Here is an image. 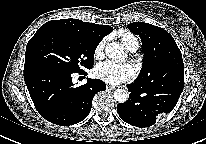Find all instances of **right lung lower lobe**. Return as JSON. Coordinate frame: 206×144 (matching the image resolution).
Wrapping results in <instances>:
<instances>
[{
	"label": "right lung lower lobe",
	"instance_id": "98d812e1",
	"mask_svg": "<svg viewBox=\"0 0 206 144\" xmlns=\"http://www.w3.org/2000/svg\"><path fill=\"white\" fill-rule=\"evenodd\" d=\"M71 74L49 66L24 68V80L37 111L56 125L84 120L91 111L94 95L106 89L105 82L98 79L74 87Z\"/></svg>",
	"mask_w": 206,
	"mask_h": 144
}]
</instances>
